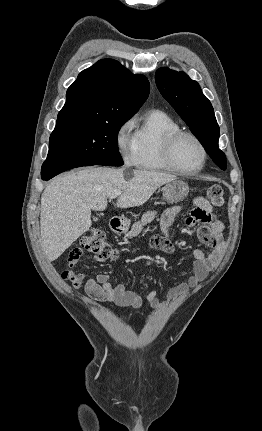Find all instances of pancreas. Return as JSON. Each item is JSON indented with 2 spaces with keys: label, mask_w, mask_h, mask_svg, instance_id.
I'll use <instances>...</instances> for the list:
<instances>
[{
  "label": "pancreas",
  "mask_w": 262,
  "mask_h": 431,
  "mask_svg": "<svg viewBox=\"0 0 262 431\" xmlns=\"http://www.w3.org/2000/svg\"><path fill=\"white\" fill-rule=\"evenodd\" d=\"M156 216V212L155 211H148L145 214H143L142 218L140 221L135 222L132 226L131 231L128 233V237H135L137 236L143 229L144 226H146L147 224H149L150 222H152L154 220Z\"/></svg>",
  "instance_id": "1"
}]
</instances>
